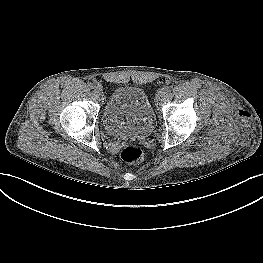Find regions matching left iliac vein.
Here are the masks:
<instances>
[{
  "mask_svg": "<svg viewBox=\"0 0 263 263\" xmlns=\"http://www.w3.org/2000/svg\"><path fill=\"white\" fill-rule=\"evenodd\" d=\"M163 97H164V93H163V92H159V93L154 97V100H155L156 102H159Z\"/></svg>",
  "mask_w": 263,
  "mask_h": 263,
  "instance_id": "4c4485c4",
  "label": "left iliac vein"
}]
</instances>
